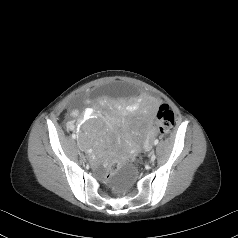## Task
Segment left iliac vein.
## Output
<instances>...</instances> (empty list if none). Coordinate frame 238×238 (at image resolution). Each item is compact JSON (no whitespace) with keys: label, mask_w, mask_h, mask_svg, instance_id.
Returning <instances> with one entry per match:
<instances>
[{"label":"left iliac vein","mask_w":238,"mask_h":238,"mask_svg":"<svg viewBox=\"0 0 238 238\" xmlns=\"http://www.w3.org/2000/svg\"><path fill=\"white\" fill-rule=\"evenodd\" d=\"M155 158H156L155 154H152L151 157H150V161L154 162Z\"/></svg>","instance_id":"left-iliac-vein-1"}]
</instances>
